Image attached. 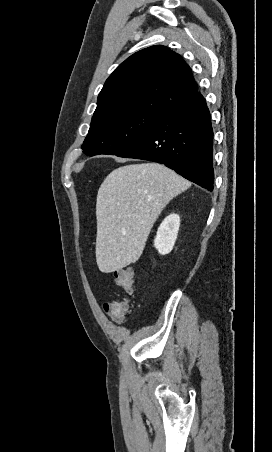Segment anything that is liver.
<instances>
[{
	"mask_svg": "<svg viewBox=\"0 0 272 452\" xmlns=\"http://www.w3.org/2000/svg\"><path fill=\"white\" fill-rule=\"evenodd\" d=\"M191 183L158 163L113 170L96 200V261L111 273L138 261L149 233L166 205Z\"/></svg>",
	"mask_w": 272,
	"mask_h": 452,
	"instance_id": "1",
	"label": "liver"
}]
</instances>
